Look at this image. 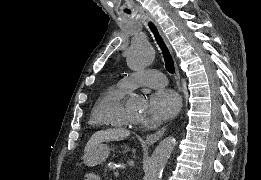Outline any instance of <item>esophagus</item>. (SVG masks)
<instances>
[{
	"instance_id": "obj_1",
	"label": "esophagus",
	"mask_w": 261,
	"mask_h": 180,
	"mask_svg": "<svg viewBox=\"0 0 261 180\" xmlns=\"http://www.w3.org/2000/svg\"><path fill=\"white\" fill-rule=\"evenodd\" d=\"M140 11L144 14V15H147L153 22H155V19L153 17V15H151L148 10H145L144 8H140ZM156 23V22H155ZM160 30V29H159ZM161 31V30H160ZM162 33V32H161ZM163 35V34H162ZM164 37V35H163ZM165 39V37H164ZM170 48V47H169ZM170 51L172 52L171 48H170ZM174 67H175V71H176V74L177 76L179 77V70H178V65L176 63V61L174 60ZM166 131V128H162L161 130H158L157 132L155 133H152L151 135H147L146 136V142L147 143H155L157 142L162 136L163 134L165 133Z\"/></svg>"
}]
</instances>
